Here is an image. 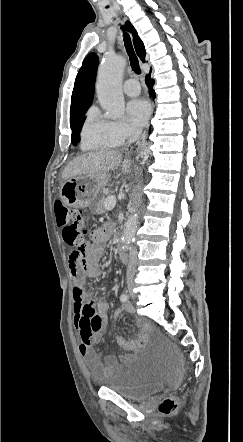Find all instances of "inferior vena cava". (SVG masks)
<instances>
[{
  "mask_svg": "<svg viewBox=\"0 0 243 442\" xmlns=\"http://www.w3.org/2000/svg\"><path fill=\"white\" fill-rule=\"evenodd\" d=\"M142 131L139 129H133L131 132V136L128 140V144H132L134 142H136L140 135H141ZM136 265H137V250L135 248H132L130 250V254H129V262H128V266H127V277L128 278H133L134 274L136 272Z\"/></svg>",
  "mask_w": 243,
  "mask_h": 442,
  "instance_id": "inferior-vena-cava-1",
  "label": "inferior vena cava"
}]
</instances>
